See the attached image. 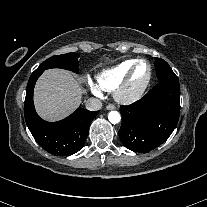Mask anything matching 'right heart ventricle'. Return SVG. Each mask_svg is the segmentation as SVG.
I'll use <instances>...</instances> for the list:
<instances>
[{
	"instance_id": "right-heart-ventricle-1",
	"label": "right heart ventricle",
	"mask_w": 207,
	"mask_h": 207,
	"mask_svg": "<svg viewBox=\"0 0 207 207\" xmlns=\"http://www.w3.org/2000/svg\"><path fill=\"white\" fill-rule=\"evenodd\" d=\"M134 61V59L125 60L110 69L101 71L96 76L98 87L103 91L114 90L124 79Z\"/></svg>"
}]
</instances>
